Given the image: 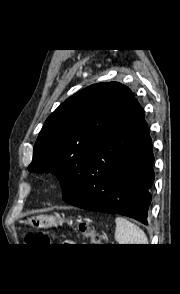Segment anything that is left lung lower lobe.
<instances>
[{
	"instance_id": "left-lung-lower-lobe-1",
	"label": "left lung lower lobe",
	"mask_w": 180,
	"mask_h": 294,
	"mask_svg": "<svg viewBox=\"0 0 180 294\" xmlns=\"http://www.w3.org/2000/svg\"><path fill=\"white\" fill-rule=\"evenodd\" d=\"M153 162L144 110L135 99L94 153L78 189L63 200L83 209L121 214L147 224Z\"/></svg>"
}]
</instances>
